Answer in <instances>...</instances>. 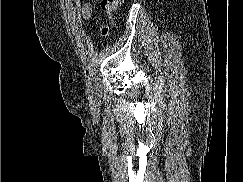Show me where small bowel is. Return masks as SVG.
<instances>
[{
	"mask_svg": "<svg viewBox=\"0 0 243 182\" xmlns=\"http://www.w3.org/2000/svg\"><path fill=\"white\" fill-rule=\"evenodd\" d=\"M91 16H92V8L91 5L87 3L83 6V17L88 20L91 18Z\"/></svg>",
	"mask_w": 243,
	"mask_h": 182,
	"instance_id": "1",
	"label": "small bowel"
}]
</instances>
